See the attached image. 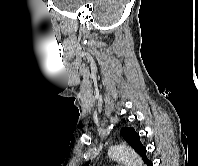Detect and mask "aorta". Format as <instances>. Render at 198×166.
I'll return each instance as SVG.
<instances>
[{"instance_id": "762f6f07", "label": "aorta", "mask_w": 198, "mask_h": 166, "mask_svg": "<svg viewBox=\"0 0 198 166\" xmlns=\"http://www.w3.org/2000/svg\"><path fill=\"white\" fill-rule=\"evenodd\" d=\"M108 156L112 160L124 162L126 166H145L140 156L128 146H112L108 150Z\"/></svg>"}]
</instances>
